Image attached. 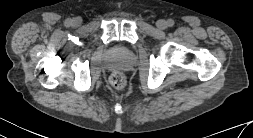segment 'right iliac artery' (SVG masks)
I'll return each mask as SVG.
<instances>
[{"label": "right iliac artery", "instance_id": "1", "mask_svg": "<svg viewBox=\"0 0 253 138\" xmlns=\"http://www.w3.org/2000/svg\"><path fill=\"white\" fill-rule=\"evenodd\" d=\"M71 19H66L65 21H64V24L66 25V26H69L70 24H71Z\"/></svg>", "mask_w": 253, "mask_h": 138}]
</instances>
